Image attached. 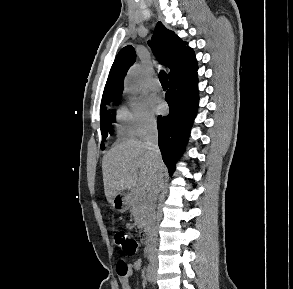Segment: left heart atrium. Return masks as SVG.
Returning <instances> with one entry per match:
<instances>
[{"label":"left heart atrium","mask_w":293,"mask_h":289,"mask_svg":"<svg viewBox=\"0 0 293 289\" xmlns=\"http://www.w3.org/2000/svg\"><path fill=\"white\" fill-rule=\"evenodd\" d=\"M152 105L155 112L162 113L164 111L165 105L160 99H154Z\"/></svg>","instance_id":"1"}]
</instances>
